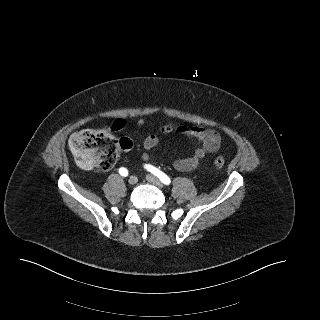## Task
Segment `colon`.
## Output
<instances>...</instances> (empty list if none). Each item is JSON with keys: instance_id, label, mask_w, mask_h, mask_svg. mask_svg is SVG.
<instances>
[{"instance_id": "colon-1", "label": "colon", "mask_w": 320, "mask_h": 320, "mask_svg": "<svg viewBox=\"0 0 320 320\" xmlns=\"http://www.w3.org/2000/svg\"><path fill=\"white\" fill-rule=\"evenodd\" d=\"M116 124L111 128L84 129L71 135L70 149L78 162L86 168L108 170L117 162L122 150H129L132 142L129 138L116 139ZM225 161L222 157L214 160V166L222 169Z\"/></svg>"}]
</instances>
